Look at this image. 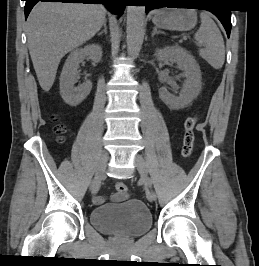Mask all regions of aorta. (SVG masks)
Wrapping results in <instances>:
<instances>
[{
	"instance_id": "aorta-1",
	"label": "aorta",
	"mask_w": 259,
	"mask_h": 266,
	"mask_svg": "<svg viewBox=\"0 0 259 266\" xmlns=\"http://www.w3.org/2000/svg\"><path fill=\"white\" fill-rule=\"evenodd\" d=\"M145 7H127V52L129 57L139 55L144 38Z\"/></svg>"
}]
</instances>
